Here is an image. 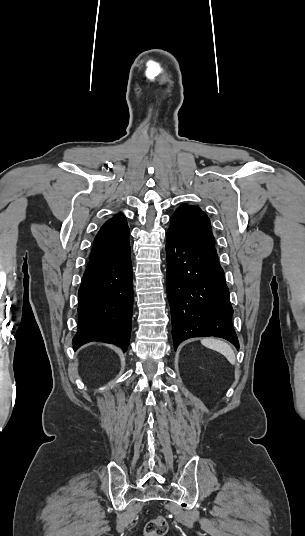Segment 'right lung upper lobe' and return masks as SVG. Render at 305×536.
I'll return each instance as SVG.
<instances>
[{
	"instance_id": "1",
	"label": "right lung upper lobe",
	"mask_w": 305,
	"mask_h": 536,
	"mask_svg": "<svg viewBox=\"0 0 305 536\" xmlns=\"http://www.w3.org/2000/svg\"><path fill=\"white\" fill-rule=\"evenodd\" d=\"M129 246V228L122 213L106 221L94 239L89 258L106 255Z\"/></svg>"
}]
</instances>
